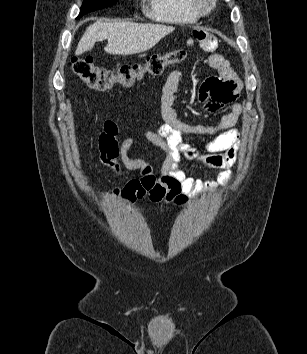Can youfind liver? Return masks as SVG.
<instances>
[{
	"label": "liver",
	"mask_w": 307,
	"mask_h": 354,
	"mask_svg": "<svg viewBox=\"0 0 307 354\" xmlns=\"http://www.w3.org/2000/svg\"><path fill=\"white\" fill-rule=\"evenodd\" d=\"M174 31V27L160 24L133 22H102L90 25L81 37L75 55L90 51L96 42L108 40L105 51L112 55H132L145 52L163 37Z\"/></svg>",
	"instance_id": "liver-1"
}]
</instances>
